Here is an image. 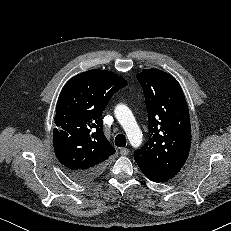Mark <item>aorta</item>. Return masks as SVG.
Returning a JSON list of instances; mask_svg holds the SVG:
<instances>
[{
  "label": "aorta",
  "mask_w": 231,
  "mask_h": 231,
  "mask_svg": "<svg viewBox=\"0 0 231 231\" xmlns=\"http://www.w3.org/2000/svg\"><path fill=\"white\" fill-rule=\"evenodd\" d=\"M115 116L123 127L131 145L138 147L142 143V132L133 116L131 110L124 104H119L115 108Z\"/></svg>",
  "instance_id": "aorta-1"
}]
</instances>
